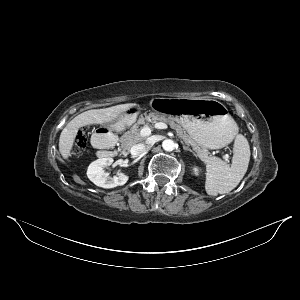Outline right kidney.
<instances>
[{"label":"right kidney","instance_id":"obj_1","mask_svg":"<svg viewBox=\"0 0 300 300\" xmlns=\"http://www.w3.org/2000/svg\"><path fill=\"white\" fill-rule=\"evenodd\" d=\"M113 163L111 157H101L93 161L87 169V177L96 185L102 188H114L124 185L128 181V176L120 172L116 176L110 177L103 171V167Z\"/></svg>","mask_w":300,"mask_h":300}]
</instances>
